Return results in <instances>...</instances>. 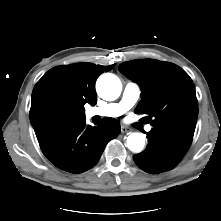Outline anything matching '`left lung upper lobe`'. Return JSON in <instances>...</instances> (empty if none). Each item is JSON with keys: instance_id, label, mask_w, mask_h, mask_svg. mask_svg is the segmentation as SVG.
<instances>
[{"instance_id": "left-lung-upper-lobe-1", "label": "left lung upper lobe", "mask_w": 221, "mask_h": 221, "mask_svg": "<svg viewBox=\"0 0 221 221\" xmlns=\"http://www.w3.org/2000/svg\"><path fill=\"white\" fill-rule=\"evenodd\" d=\"M119 71L141 86L136 113L145 122L193 138L198 117L195 86L179 66L155 59H138L119 65Z\"/></svg>"}]
</instances>
